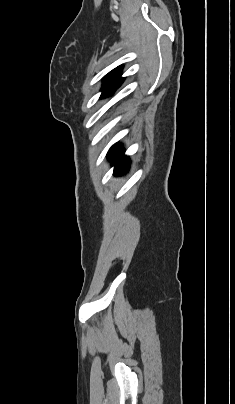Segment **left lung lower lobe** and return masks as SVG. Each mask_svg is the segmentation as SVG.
<instances>
[{
	"instance_id": "left-lung-lower-lobe-1",
	"label": "left lung lower lobe",
	"mask_w": 235,
	"mask_h": 404,
	"mask_svg": "<svg viewBox=\"0 0 235 404\" xmlns=\"http://www.w3.org/2000/svg\"><path fill=\"white\" fill-rule=\"evenodd\" d=\"M123 149L119 145H114L108 152V156L111 158L112 163L115 165L114 173L116 175H121L127 171L129 168V158L123 156Z\"/></svg>"
}]
</instances>
